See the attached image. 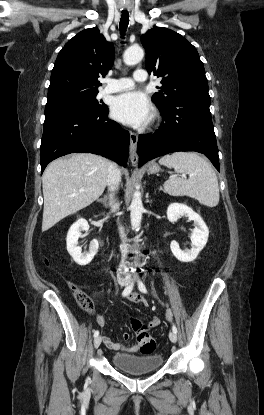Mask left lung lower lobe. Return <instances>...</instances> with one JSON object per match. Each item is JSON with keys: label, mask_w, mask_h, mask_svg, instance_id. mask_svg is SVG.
Listing matches in <instances>:
<instances>
[{"label": "left lung lower lobe", "mask_w": 264, "mask_h": 415, "mask_svg": "<svg viewBox=\"0 0 264 415\" xmlns=\"http://www.w3.org/2000/svg\"><path fill=\"white\" fill-rule=\"evenodd\" d=\"M209 106L210 99L185 98L160 110L163 123L159 130L138 137L139 166L171 152L196 151L206 155L219 171Z\"/></svg>", "instance_id": "0a47b994"}]
</instances>
